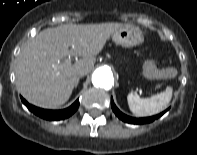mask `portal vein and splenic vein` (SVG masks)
I'll list each match as a JSON object with an SVG mask.
<instances>
[{
    "instance_id": "obj_1",
    "label": "portal vein and splenic vein",
    "mask_w": 197,
    "mask_h": 155,
    "mask_svg": "<svg viewBox=\"0 0 197 155\" xmlns=\"http://www.w3.org/2000/svg\"><path fill=\"white\" fill-rule=\"evenodd\" d=\"M70 62H71V59L70 58L66 60V63H70Z\"/></svg>"
}]
</instances>
